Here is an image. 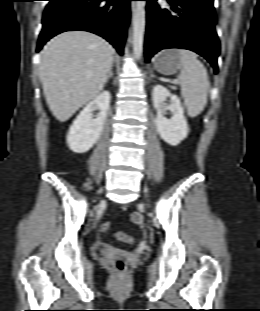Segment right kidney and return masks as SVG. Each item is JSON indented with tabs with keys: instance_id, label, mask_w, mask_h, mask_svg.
<instances>
[{
	"instance_id": "obj_1",
	"label": "right kidney",
	"mask_w": 260,
	"mask_h": 311,
	"mask_svg": "<svg viewBox=\"0 0 260 311\" xmlns=\"http://www.w3.org/2000/svg\"><path fill=\"white\" fill-rule=\"evenodd\" d=\"M110 99V92L103 91L76 117L67 134V144L71 151L85 153L97 142L107 118ZM95 108L100 112L95 119H92V111Z\"/></svg>"
}]
</instances>
